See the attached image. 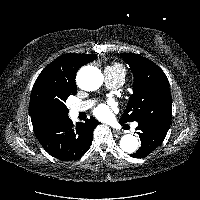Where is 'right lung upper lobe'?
<instances>
[{"mask_svg": "<svg viewBox=\"0 0 200 200\" xmlns=\"http://www.w3.org/2000/svg\"><path fill=\"white\" fill-rule=\"evenodd\" d=\"M93 54H64L52 61L36 79L29 104L33 128L48 118L44 105L50 100H61L77 90L75 76L78 69L95 60Z\"/></svg>", "mask_w": 200, "mask_h": 200, "instance_id": "right-lung-upper-lobe-1", "label": "right lung upper lobe"}]
</instances>
